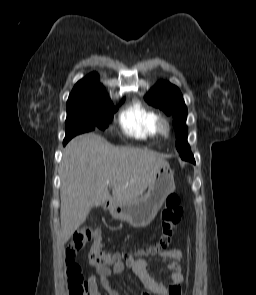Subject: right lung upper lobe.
Masks as SVG:
<instances>
[{
  "instance_id": "obj_1",
  "label": "right lung upper lobe",
  "mask_w": 256,
  "mask_h": 295,
  "mask_svg": "<svg viewBox=\"0 0 256 295\" xmlns=\"http://www.w3.org/2000/svg\"><path fill=\"white\" fill-rule=\"evenodd\" d=\"M101 99H108V96L104 87L98 82V75L92 73L76 83L68 98L67 106L88 100Z\"/></svg>"
}]
</instances>
